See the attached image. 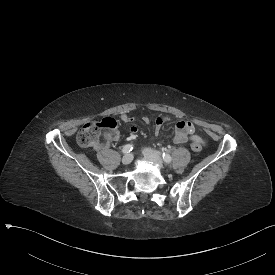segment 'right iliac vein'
<instances>
[{
	"mask_svg": "<svg viewBox=\"0 0 275 275\" xmlns=\"http://www.w3.org/2000/svg\"><path fill=\"white\" fill-rule=\"evenodd\" d=\"M133 161V155L132 154H126L122 158V163L124 165H129Z\"/></svg>",
	"mask_w": 275,
	"mask_h": 275,
	"instance_id": "obj_1",
	"label": "right iliac vein"
}]
</instances>
